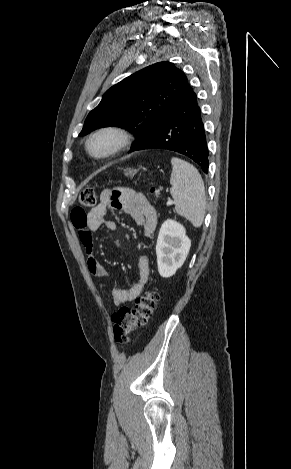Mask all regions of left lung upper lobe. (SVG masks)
Here are the masks:
<instances>
[{
	"label": "left lung upper lobe",
	"mask_w": 291,
	"mask_h": 469,
	"mask_svg": "<svg viewBox=\"0 0 291 469\" xmlns=\"http://www.w3.org/2000/svg\"><path fill=\"white\" fill-rule=\"evenodd\" d=\"M189 88L186 75L170 62L150 65L107 90L87 116L79 136L108 126L130 130L140 145Z\"/></svg>",
	"instance_id": "5c2ea615"
}]
</instances>
